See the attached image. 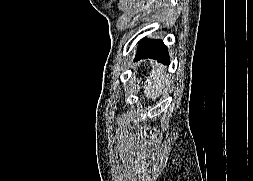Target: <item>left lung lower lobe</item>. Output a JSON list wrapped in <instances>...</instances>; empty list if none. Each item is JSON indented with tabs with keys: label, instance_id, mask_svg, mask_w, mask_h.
<instances>
[{
	"label": "left lung lower lobe",
	"instance_id": "0a47b994",
	"mask_svg": "<svg viewBox=\"0 0 253 181\" xmlns=\"http://www.w3.org/2000/svg\"><path fill=\"white\" fill-rule=\"evenodd\" d=\"M142 58H152L164 64H169L168 51L161 40H144L141 42L135 60Z\"/></svg>",
	"mask_w": 253,
	"mask_h": 181
}]
</instances>
